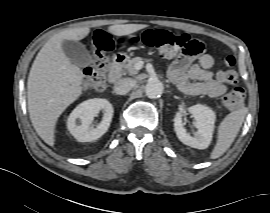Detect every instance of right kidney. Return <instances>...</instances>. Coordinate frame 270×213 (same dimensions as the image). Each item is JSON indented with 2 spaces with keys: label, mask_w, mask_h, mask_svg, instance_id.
I'll list each match as a JSON object with an SVG mask.
<instances>
[{
  "label": "right kidney",
  "mask_w": 270,
  "mask_h": 213,
  "mask_svg": "<svg viewBox=\"0 0 270 213\" xmlns=\"http://www.w3.org/2000/svg\"><path fill=\"white\" fill-rule=\"evenodd\" d=\"M100 110H104L102 121L96 128L91 123ZM113 106L106 99L94 98L79 104L67 120V128L79 142H92L100 138L108 130L113 116ZM80 120V125L76 120Z\"/></svg>",
  "instance_id": "ca27d5eb"
}]
</instances>
